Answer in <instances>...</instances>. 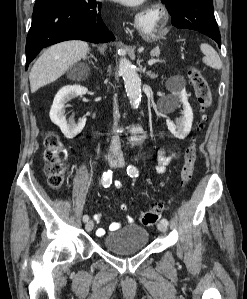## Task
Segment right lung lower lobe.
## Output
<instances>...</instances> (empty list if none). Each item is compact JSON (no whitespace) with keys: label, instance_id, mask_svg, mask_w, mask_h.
<instances>
[{"label":"right lung lower lobe","instance_id":"right-lung-lower-lobe-1","mask_svg":"<svg viewBox=\"0 0 247 299\" xmlns=\"http://www.w3.org/2000/svg\"><path fill=\"white\" fill-rule=\"evenodd\" d=\"M101 2L95 0H57L32 15L26 40V66L40 50L58 42L80 39L99 43L114 41L101 18Z\"/></svg>","mask_w":247,"mask_h":299}]
</instances>
